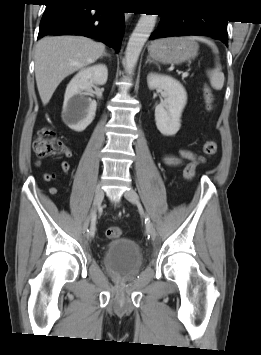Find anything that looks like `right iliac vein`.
<instances>
[{
	"instance_id": "right-iliac-vein-1",
	"label": "right iliac vein",
	"mask_w": 261,
	"mask_h": 355,
	"mask_svg": "<svg viewBox=\"0 0 261 355\" xmlns=\"http://www.w3.org/2000/svg\"><path fill=\"white\" fill-rule=\"evenodd\" d=\"M104 197V192L102 189V185L98 184L97 187L95 188V194H94V200H93V207L91 210L90 215H88V217L86 218L84 225H83V231L85 232L88 229L92 214L94 213V211L100 206L102 200Z\"/></svg>"
}]
</instances>
